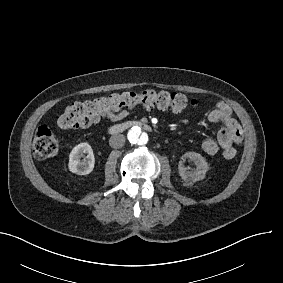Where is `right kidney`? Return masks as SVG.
Instances as JSON below:
<instances>
[{
	"label": "right kidney",
	"instance_id": "right-kidney-1",
	"mask_svg": "<svg viewBox=\"0 0 283 283\" xmlns=\"http://www.w3.org/2000/svg\"><path fill=\"white\" fill-rule=\"evenodd\" d=\"M84 154H87L85 156ZM83 158V160H81ZM95 158L92 147L84 142L76 145L69 155V170L78 175H87L94 169Z\"/></svg>",
	"mask_w": 283,
	"mask_h": 283
}]
</instances>
